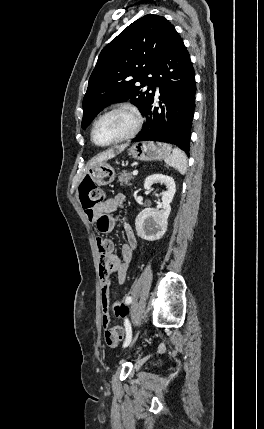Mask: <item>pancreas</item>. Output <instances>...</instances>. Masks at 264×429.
Segmentation results:
<instances>
[{"mask_svg": "<svg viewBox=\"0 0 264 429\" xmlns=\"http://www.w3.org/2000/svg\"><path fill=\"white\" fill-rule=\"evenodd\" d=\"M133 179L131 173H128L126 171H123L120 173L119 177H118V181L120 182L121 185L125 184L130 186L131 183L130 181Z\"/></svg>", "mask_w": 264, "mask_h": 429, "instance_id": "cf45deb5", "label": "pancreas"}]
</instances>
